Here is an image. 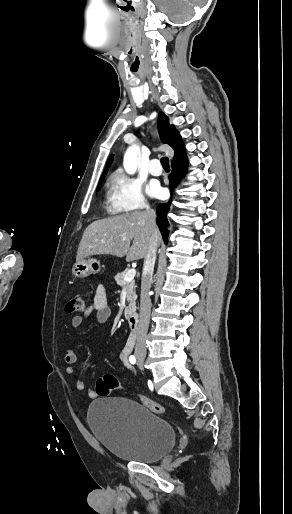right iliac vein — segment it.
I'll use <instances>...</instances> for the list:
<instances>
[{"instance_id": "1", "label": "right iliac vein", "mask_w": 292, "mask_h": 514, "mask_svg": "<svg viewBox=\"0 0 292 514\" xmlns=\"http://www.w3.org/2000/svg\"><path fill=\"white\" fill-rule=\"evenodd\" d=\"M138 363L141 364V365H144L145 364V357L139 356L138 357Z\"/></svg>"}]
</instances>
